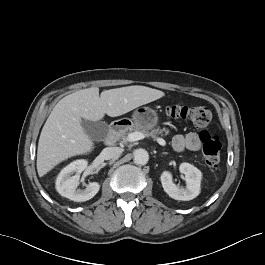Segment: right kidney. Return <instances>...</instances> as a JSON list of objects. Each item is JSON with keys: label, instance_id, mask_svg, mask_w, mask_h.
Returning a JSON list of instances; mask_svg holds the SVG:
<instances>
[{"label": "right kidney", "instance_id": "1", "mask_svg": "<svg viewBox=\"0 0 265 265\" xmlns=\"http://www.w3.org/2000/svg\"><path fill=\"white\" fill-rule=\"evenodd\" d=\"M86 160H76L61 170L56 179V190L58 193L75 202H84L93 198L99 191L97 182L89 183L84 190L77 189L80 174L87 168ZM75 173V175H73Z\"/></svg>", "mask_w": 265, "mask_h": 265}]
</instances>
